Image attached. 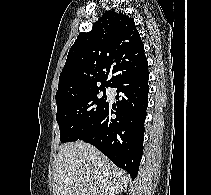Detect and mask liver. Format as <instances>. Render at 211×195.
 <instances>
[{
  "label": "liver",
  "instance_id": "6515ba94",
  "mask_svg": "<svg viewBox=\"0 0 211 195\" xmlns=\"http://www.w3.org/2000/svg\"><path fill=\"white\" fill-rule=\"evenodd\" d=\"M130 178L104 154L83 141L60 146L53 172V195H116Z\"/></svg>",
  "mask_w": 211,
  "mask_h": 195
}]
</instances>
